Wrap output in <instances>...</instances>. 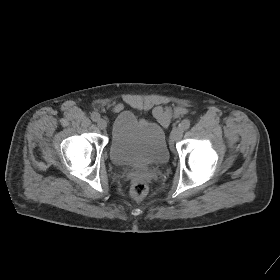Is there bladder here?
I'll return each mask as SVG.
<instances>
[{
	"label": "bladder",
	"instance_id": "1",
	"mask_svg": "<svg viewBox=\"0 0 280 280\" xmlns=\"http://www.w3.org/2000/svg\"><path fill=\"white\" fill-rule=\"evenodd\" d=\"M109 156L118 166L164 165L169 160L165 130L158 123L139 119L131 111H122L112 123Z\"/></svg>",
	"mask_w": 280,
	"mask_h": 280
}]
</instances>
